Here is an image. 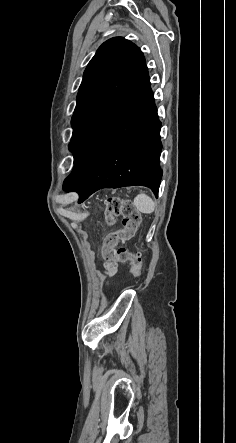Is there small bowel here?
<instances>
[{
	"mask_svg": "<svg viewBox=\"0 0 236 443\" xmlns=\"http://www.w3.org/2000/svg\"><path fill=\"white\" fill-rule=\"evenodd\" d=\"M104 269H105V273H106L108 276H113V275H115L116 272H117V265H116L114 262H107V263L104 265Z\"/></svg>",
	"mask_w": 236,
	"mask_h": 443,
	"instance_id": "small-bowel-1",
	"label": "small bowel"
}]
</instances>
